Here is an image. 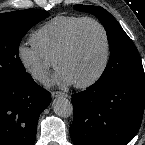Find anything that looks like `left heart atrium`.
Here are the masks:
<instances>
[{"instance_id": "1", "label": "left heart atrium", "mask_w": 145, "mask_h": 145, "mask_svg": "<svg viewBox=\"0 0 145 145\" xmlns=\"http://www.w3.org/2000/svg\"><path fill=\"white\" fill-rule=\"evenodd\" d=\"M52 83L59 87H66L73 84L71 79L61 70H58L53 76Z\"/></svg>"}]
</instances>
